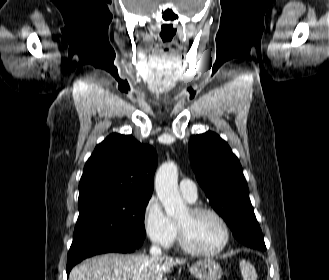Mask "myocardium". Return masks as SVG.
Instances as JSON below:
<instances>
[{
  "label": "myocardium",
  "mask_w": 329,
  "mask_h": 280,
  "mask_svg": "<svg viewBox=\"0 0 329 280\" xmlns=\"http://www.w3.org/2000/svg\"><path fill=\"white\" fill-rule=\"evenodd\" d=\"M189 211L194 216L201 215V214H208V215L214 217L223 229V241L220 244V246L214 250H211V251L199 250V249L193 247L189 243L182 226L180 224H177L179 242H180L182 249L186 253L193 255V256H198V257H215V256L221 254L227 248V246L229 245L230 240H231L230 228H229L228 223L224 219V217L215 209L210 208V207H205V206H192L189 208Z\"/></svg>",
  "instance_id": "1"
}]
</instances>
